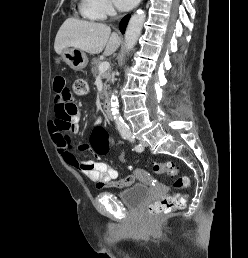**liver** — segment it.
Here are the masks:
<instances>
[{"label": "liver", "mask_w": 248, "mask_h": 258, "mask_svg": "<svg viewBox=\"0 0 248 258\" xmlns=\"http://www.w3.org/2000/svg\"><path fill=\"white\" fill-rule=\"evenodd\" d=\"M120 42L118 34L111 33L110 27L103 23L69 18L56 35L54 49L59 55L65 48L73 47L90 54L104 50V55L110 56L119 48Z\"/></svg>", "instance_id": "obj_1"}]
</instances>
